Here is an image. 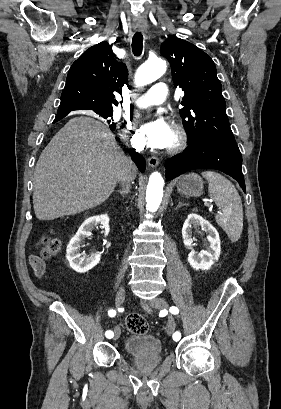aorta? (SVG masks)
Here are the masks:
<instances>
[{
  "label": "aorta",
  "instance_id": "aorta-1",
  "mask_svg": "<svg viewBox=\"0 0 281 409\" xmlns=\"http://www.w3.org/2000/svg\"><path fill=\"white\" fill-rule=\"evenodd\" d=\"M166 62L162 59H149L140 66L136 74V84L144 86L156 81L166 71ZM164 180L159 172L149 177L146 189V209L155 212L162 201Z\"/></svg>",
  "mask_w": 281,
  "mask_h": 409
}]
</instances>
